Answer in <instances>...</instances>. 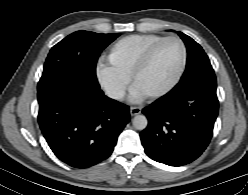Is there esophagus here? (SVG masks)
Masks as SVG:
<instances>
[{
    "label": "esophagus",
    "mask_w": 248,
    "mask_h": 195,
    "mask_svg": "<svg viewBox=\"0 0 248 195\" xmlns=\"http://www.w3.org/2000/svg\"><path fill=\"white\" fill-rule=\"evenodd\" d=\"M140 113H141V108H140V107L134 106V107H131V108H130V114H131L132 116L138 115V114H140Z\"/></svg>",
    "instance_id": "esophagus-1"
}]
</instances>
